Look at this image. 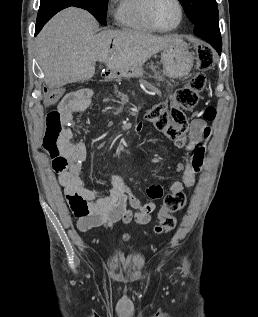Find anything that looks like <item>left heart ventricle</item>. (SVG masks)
<instances>
[{
    "label": "left heart ventricle",
    "mask_w": 258,
    "mask_h": 317,
    "mask_svg": "<svg viewBox=\"0 0 258 317\" xmlns=\"http://www.w3.org/2000/svg\"><path fill=\"white\" fill-rule=\"evenodd\" d=\"M152 13L154 20L160 27L169 28L177 22L179 9L175 0H158Z\"/></svg>",
    "instance_id": "b2bd125f"
}]
</instances>
